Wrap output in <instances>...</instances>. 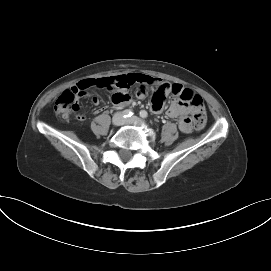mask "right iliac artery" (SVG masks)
Masks as SVG:
<instances>
[{
    "label": "right iliac artery",
    "mask_w": 271,
    "mask_h": 271,
    "mask_svg": "<svg viewBox=\"0 0 271 271\" xmlns=\"http://www.w3.org/2000/svg\"><path fill=\"white\" fill-rule=\"evenodd\" d=\"M133 115V112H132V110H130V109H126V110H124L123 111V117H131Z\"/></svg>",
    "instance_id": "1"
}]
</instances>
